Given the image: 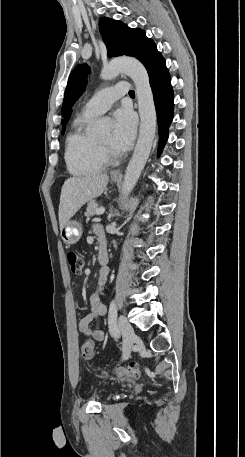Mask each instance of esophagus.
I'll return each mask as SVG.
<instances>
[{"label": "esophagus", "instance_id": "obj_1", "mask_svg": "<svg viewBox=\"0 0 245 457\" xmlns=\"http://www.w3.org/2000/svg\"><path fill=\"white\" fill-rule=\"evenodd\" d=\"M122 170L120 168H118L117 170H114L112 173H111V176H115V177H122Z\"/></svg>", "mask_w": 245, "mask_h": 457}]
</instances>
